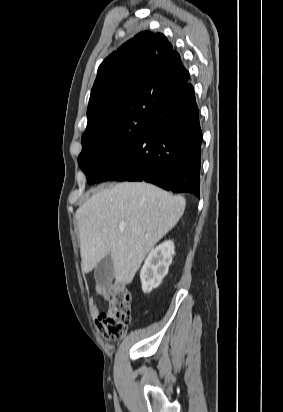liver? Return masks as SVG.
Segmentation results:
<instances>
[{
    "label": "liver",
    "mask_w": 283,
    "mask_h": 412,
    "mask_svg": "<svg viewBox=\"0 0 283 412\" xmlns=\"http://www.w3.org/2000/svg\"><path fill=\"white\" fill-rule=\"evenodd\" d=\"M185 206L184 197L144 182L96 192L75 213L82 271L89 273L109 254L116 281L131 283L146 254L178 223Z\"/></svg>",
    "instance_id": "liver-1"
}]
</instances>
